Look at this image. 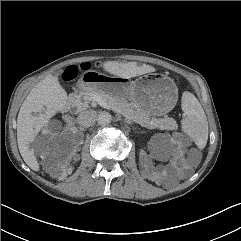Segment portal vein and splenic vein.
Returning <instances> with one entry per match:
<instances>
[{
    "mask_svg": "<svg viewBox=\"0 0 241 241\" xmlns=\"http://www.w3.org/2000/svg\"><path fill=\"white\" fill-rule=\"evenodd\" d=\"M99 101H100V103H101L102 105H104V106L107 105L104 101H102V100H100V99H99Z\"/></svg>",
    "mask_w": 241,
    "mask_h": 241,
    "instance_id": "1",
    "label": "portal vein and splenic vein"
}]
</instances>
